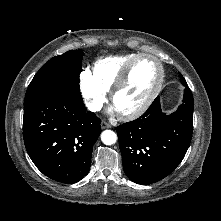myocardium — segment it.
I'll list each match as a JSON object with an SVG mask.
<instances>
[{
  "instance_id": "obj_1",
  "label": "myocardium",
  "mask_w": 221,
  "mask_h": 221,
  "mask_svg": "<svg viewBox=\"0 0 221 221\" xmlns=\"http://www.w3.org/2000/svg\"><path fill=\"white\" fill-rule=\"evenodd\" d=\"M143 58H149V59H152L156 62L157 66L159 68V77H158L155 87L153 88V90L151 91L149 96L138 108H136L132 111H119L116 109L118 114L126 120L136 119V118L140 117L141 115H143L149 109V107L152 105V103L154 102V100L156 99L158 94L160 93V91L162 89L163 82H164L165 70H164V66H163L162 62L156 56H154L152 54L140 53L139 55H137L136 57H134L132 60H130L127 63V65L123 68V70L119 74L112 89L110 90V100H111L112 104L114 105V101H115L117 94L126 85L128 79H129L130 73H131L133 67L135 66V64Z\"/></svg>"
}]
</instances>
